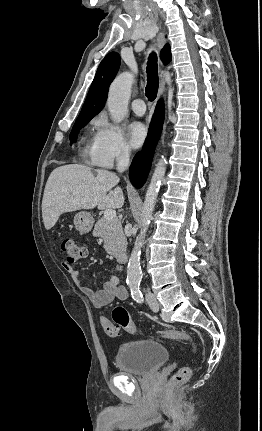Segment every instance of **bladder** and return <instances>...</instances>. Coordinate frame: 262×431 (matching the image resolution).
<instances>
[{
    "label": "bladder",
    "mask_w": 262,
    "mask_h": 431,
    "mask_svg": "<svg viewBox=\"0 0 262 431\" xmlns=\"http://www.w3.org/2000/svg\"><path fill=\"white\" fill-rule=\"evenodd\" d=\"M168 359L166 347L154 340L137 339L120 347L116 353L119 371L146 375L159 369Z\"/></svg>",
    "instance_id": "31cf9c89"
}]
</instances>
